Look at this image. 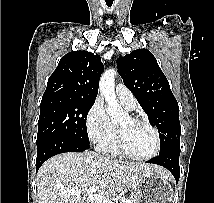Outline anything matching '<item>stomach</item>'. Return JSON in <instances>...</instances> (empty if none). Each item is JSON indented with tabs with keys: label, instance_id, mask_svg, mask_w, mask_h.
<instances>
[{
	"label": "stomach",
	"instance_id": "obj_1",
	"mask_svg": "<svg viewBox=\"0 0 214 203\" xmlns=\"http://www.w3.org/2000/svg\"><path fill=\"white\" fill-rule=\"evenodd\" d=\"M135 191L136 203H172L174 197L166 176L155 169L142 178Z\"/></svg>",
	"mask_w": 214,
	"mask_h": 203
}]
</instances>
